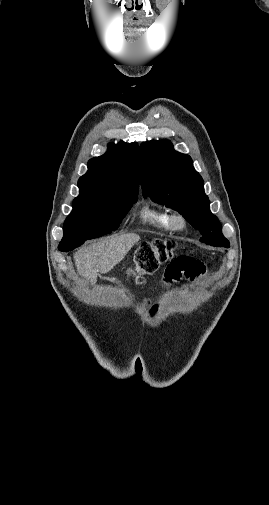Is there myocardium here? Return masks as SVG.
<instances>
[{
	"label": "myocardium",
	"instance_id": "myocardium-1",
	"mask_svg": "<svg viewBox=\"0 0 269 505\" xmlns=\"http://www.w3.org/2000/svg\"><path fill=\"white\" fill-rule=\"evenodd\" d=\"M170 225L173 230L183 231L187 228V218L181 212H173L169 217Z\"/></svg>",
	"mask_w": 269,
	"mask_h": 505
}]
</instances>
